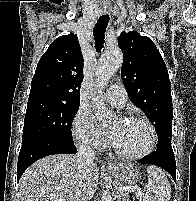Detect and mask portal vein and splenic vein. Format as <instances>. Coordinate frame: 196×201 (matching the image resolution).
I'll return each mask as SVG.
<instances>
[{"label":"portal vein and splenic vein","mask_w":196,"mask_h":201,"mask_svg":"<svg viewBox=\"0 0 196 201\" xmlns=\"http://www.w3.org/2000/svg\"><path fill=\"white\" fill-rule=\"evenodd\" d=\"M119 190L122 191V192H128V191L131 190V187H121ZM137 196H138L139 198H141V197H142V192H138V193H137Z\"/></svg>","instance_id":"portal-vein-and-splenic-vein-1"}]
</instances>
